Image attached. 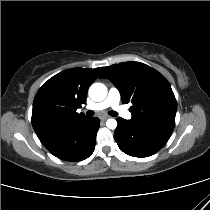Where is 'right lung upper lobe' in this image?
Instances as JSON below:
<instances>
[{"mask_svg":"<svg viewBox=\"0 0 210 210\" xmlns=\"http://www.w3.org/2000/svg\"><path fill=\"white\" fill-rule=\"evenodd\" d=\"M102 69H68L50 78L38 90L33 102L32 125L42 143L87 118L76 110L85 103L87 90Z\"/></svg>","mask_w":210,"mask_h":210,"instance_id":"cb5924a9","label":"right lung upper lobe"}]
</instances>
